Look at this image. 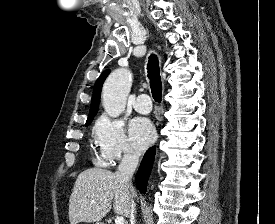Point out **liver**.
Here are the masks:
<instances>
[{
	"label": "liver",
	"mask_w": 275,
	"mask_h": 224,
	"mask_svg": "<svg viewBox=\"0 0 275 224\" xmlns=\"http://www.w3.org/2000/svg\"><path fill=\"white\" fill-rule=\"evenodd\" d=\"M136 196L115 172L92 168L80 173L69 199L70 224L99 222L113 207L115 213L129 217L131 197Z\"/></svg>",
	"instance_id": "obj_1"
}]
</instances>
